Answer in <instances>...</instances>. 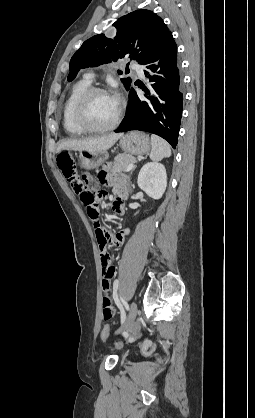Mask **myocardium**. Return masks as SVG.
<instances>
[{
  "label": "myocardium",
  "instance_id": "myocardium-1",
  "mask_svg": "<svg viewBox=\"0 0 255 418\" xmlns=\"http://www.w3.org/2000/svg\"><path fill=\"white\" fill-rule=\"evenodd\" d=\"M95 94H108V91L101 87H89L86 91H84L81 96L79 97L74 110V121L75 123L83 129L85 132L90 133H104L113 130L121 119V108L118 107L117 113L113 119V121L102 127L92 125L87 117V108L89 100Z\"/></svg>",
  "mask_w": 255,
  "mask_h": 418
}]
</instances>
